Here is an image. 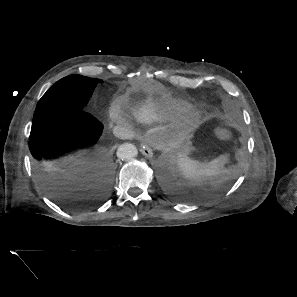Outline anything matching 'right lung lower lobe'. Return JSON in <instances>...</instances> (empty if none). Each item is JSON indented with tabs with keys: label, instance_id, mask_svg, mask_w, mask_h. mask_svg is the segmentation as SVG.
Returning a JSON list of instances; mask_svg holds the SVG:
<instances>
[{
	"label": "right lung lower lobe",
	"instance_id": "1",
	"mask_svg": "<svg viewBox=\"0 0 297 297\" xmlns=\"http://www.w3.org/2000/svg\"><path fill=\"white\" fill-rule=\"evenodd\" d=\"M102 128L94 116L73 107L32 123L29 149L34 173L52 197L73 209L94 207L107 197L113 164L97 142ZM96 181L100 189L89 192ZM71 183L84 194H75Z\"/></svg>",
	"mask_w": 297,
	"mask_h": 297
}]
</instances>
